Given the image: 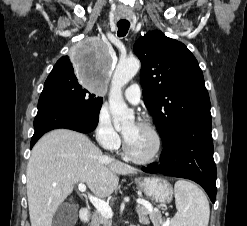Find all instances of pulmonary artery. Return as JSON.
<instances>
[{
	"mask_svg": "<svg viewBox=\"0 0 247 226\" xmlns=\"http://www.w3.org/2000/svg\"><path fill=\"white\" fill-rule=\"evenodd\" d=\"M124 96L129 103L133 105L138 104L141 100V91L139 85L134 83L128 86L124 91Z\"/></svg>",
	"mask_w": 247,
	"mask_h": 226,
	"instance_id": "1",
	"label": "pulmonary artery"
}]
</instances>
